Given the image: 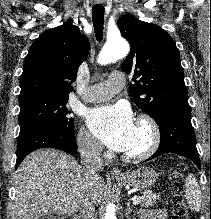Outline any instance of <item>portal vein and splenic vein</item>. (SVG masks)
Instances as JSON below:
<instances>
[{
	"label": "portal vein and splenic vein",
	"instance_id": "portal-vein-and-splenic-vein-1",
	"mask_svg": "<svg viewBox=\"0 0 211 219\" xmlns=\"http://www.w3.org/2000/svg\"><path fill=\"white\" fill-rule=\"evenodd\" d=\"M141 196H134L131 198L133 205H137L140 202Z\"/></svg>",
	"mask_w": 211,
	"mask_h": 219
}]
</instances>
